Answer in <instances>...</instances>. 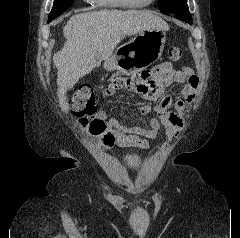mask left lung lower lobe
Wrapping results in <instances>:
<instances>
[{"label":"left lung lower lobe","instance_id":"1","mask_svg":"<svg viewBox=\"0 0 240 238\" xmlns=\"http://www.w3.org/2000/svg\"><path fill=\"white\" fill-rule=\"evenodd\" d=\"M177 19H180V20H182V21H184V22H187V23H189V24H192V20H187V19H183V18H179V17H176Z\"/></svg>","mask_w":240,"mask_h":238}]
</instances>
